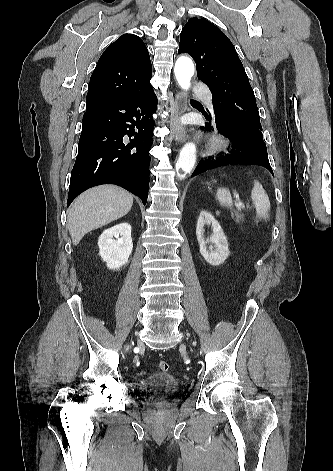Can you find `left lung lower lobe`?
Instances as JSON below:
<instances>
[{
	"label": "left lung lower lobe",
	"mask_w": 333,
	"mask_h": 471,
	"mask_svg": "<svg viewBox=\"0 0 333 471\" xmlns=\"http://www.w3.org/2000/svg\"><path fill=\"white\" fill-rule=\"evenodd\" d=\"M202 113L208 121L205 123V128L208 131H212V128L215 127L221 135L227 137L231 141V154L219 156L215 160L206 159L204 161H200L191 177L213 168L231 164L260 165L267 168L272 175H274L268 160L267 148L264 142L249 139L245 136L231 132L225 127L223 122L215 120L206 112Z\"/></svg>",
	"instance_id": "0a47b994"
}]
</instances>
